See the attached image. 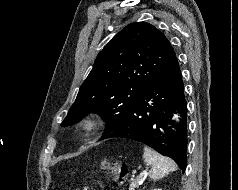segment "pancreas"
<instances>
[{
  "instance_id": "obj_1",
  "label": "pancreas",
  "mask_w": 238,
  "mask_h": 190,
  "mask_svg": "<svg viewBox=\"0 0 238 190\" xmlns=\"http://www.w3.org/2000/svg\"><path fill=\"white\" fill-rule=\"evenodd\" d=\"M141 184V179L140 178H134L131 180L129 190H134L135 188H138Z\"/></svg>"
}]
</instances>
